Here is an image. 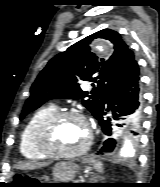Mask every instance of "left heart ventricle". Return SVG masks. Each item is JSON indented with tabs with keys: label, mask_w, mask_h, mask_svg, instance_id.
Here are the masks:
<instances>
[{
	"label": "left heart ventricle",
	"mask_w": 160,
	"mask_h": 187,
	"mask_svg": "<svg viewBox=\"0 0 160 187\" xmlns=\"http://www.w3.org/2000/svg\"><path fill=\"white\" fill-rule=\"evenodd\" d=\"M87 137V129L83 122L77 118H68L57 127L55 146L61 151L73 152L85 145Z\"/></svg>",
	"instance_id": "b2bd125f"
}]
</instances>
